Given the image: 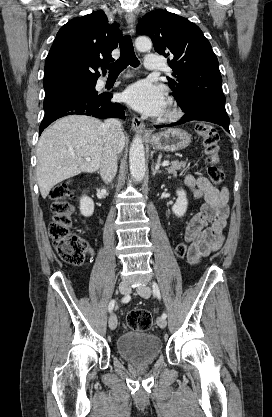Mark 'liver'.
I'll list each match as a JSON object with an SVG mask.
<instances>
[{
  "label": "liver",
  "mask_w": 272,
  "mask_h": 417,
  "mask_svg": "<svg viewBox=\"0 0 272 417\" xmlns=\"http://www.w3.org/2000/svg\"><path fill=\"white\" fill-rule=\"evenodd\" d=\"M102 122L89 116L70 115L48 127L37 145V182L45 199L58 183L79 175L98 171L105 147ZM119 139V153L125 146ZM74 156L70 155V152ZM89 157L90 161L84 158Z\"/></svg>",
  "instance_id": "liver-1"
}]
</instances>
